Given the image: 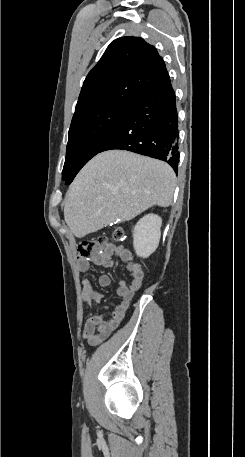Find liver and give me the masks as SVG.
Segmentation results:
<instances>
[{"instance_id": "6515ba94", "label": "liver", "mask_w": 245, "mask_h": 457, "mask_svg": "<svg viewBox=\"0 0 245 457\" xmlns=\"http://www.w3.org/2000/svg\"><path fill=\"white\" fill-rule=\"evenodd\" d=\"M175 186L176 174L167 162L129 150H105L70 184L65 222L82 239L117 218L131 220L153 204L169 206Z\"/></svg>"}]
</instances>
